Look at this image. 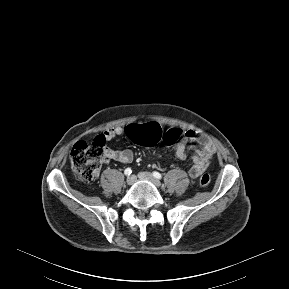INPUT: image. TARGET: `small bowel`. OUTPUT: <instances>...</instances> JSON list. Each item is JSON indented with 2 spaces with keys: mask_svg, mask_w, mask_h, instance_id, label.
I'll return each instance as SVG.
<instances>
[{
  "mask_svg": "<svg viewBox=\"0 0 289 289\" xmlns=\"http://www.w3.org/2000/svg\"><path fill=\"white\" fill-rule=\"evenodd\" d=\"M124 129L120 126L109 128L102 133V137L105 141H110L116 136L123 134ZM189 143H194L197 148L191 155L192 165L189 169V175L192 178H197L208 168L210 161L216 152L215 145L206 136L199 134L193 130H187L184 133V137L180 140L175 148V153L178 159L185 160L188 156L187 150ZM134 159V154L131 149L115 150L106 148L103 162L108 163L111 160L118 161L121 163H130Z\"/></svg>",
  "mask_w": 289,
  "mask_h": 289,
  "instance_id": "1",
  "label": "small bowel"
}]
</instances>
